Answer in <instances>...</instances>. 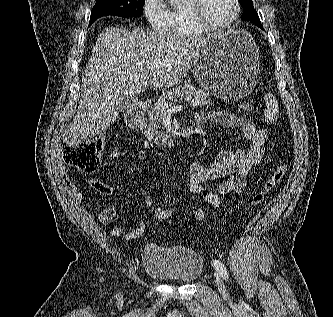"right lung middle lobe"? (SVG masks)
<instances>
[{"label":"right lung middle lobe","instance_id":"dd1d6c3e","mask_svg":"<svg viewBox=\"0 0 333 317\" xmlns=\"http://www.w3.org/2000/svg\"><path fill=\"white\" fill-rule=\"evenodd\" d=\"M145 0H96L89 25L103 16H141Z\"/></svg>","mask_w":333,"mask_h":317}]
</instances>
